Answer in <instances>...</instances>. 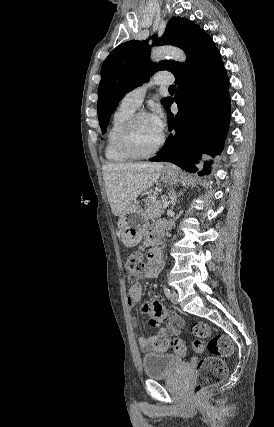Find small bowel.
<instances>
[{"instance_id":"c3829d8e","label":"small bowel","mask_w":274,"mask_h":427,"mask_svg":"<svg viewBox=\"0 0 274 427\" xmlns=\"http://www.w3.org/2000/svg\"><path fill=\"white\" fill-rule=\"evenodd\" d=\"M166 224L160 222L152 225L148 231L145 244L151 245L155 243L163 235ZM161 270L160 262L155 264L148 263L146 270L143 274L144 279H150L156 277ZM142 300V290L141 284L139 281L134 283L127 294V305L130 308L138 305ZM151 305L147 306V312L144 313V318L149 320L146 323H149L150 327H163L155 335L146 337L144 335H139L137 338V343L142 352H150L155 349V344L158 340L168 337L178 336L181 333L182 327L184 325V319L175 314H170L167 311L165 304H161L159 299H152ZM162 313L163 317L162 318ZM141 316L140 314L138 315ZM175 324V326L173 325ZM132 325L134 328L138 327V322L135 318L132 319Z\"/></svg>"}]
</instances>
